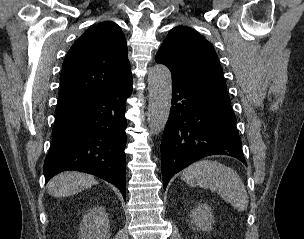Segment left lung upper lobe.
Returning a JSON list of instances; mask_svg holds the SVG:
<instances>
[{
    "instance_id": "5c2ea615",
    "label": "left lung upper lobe",
    "mask_w": 304,
    "mask_h": 239,
    "mask_svg": "<svg viewBox=\"0 0 304 239\" xmlns=\"http://www.w3.org/2000/svg\"><path fill=\"white\" fill-rule=\"evenodd\" d=\"M155 60L170 69L172 80L231 103L217 54L197 31L185 26L174 27L162 43Z\"/></svg>"
}]
</instances>
